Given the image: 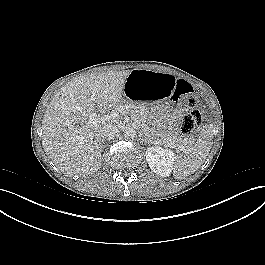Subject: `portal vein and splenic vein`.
<instances>
[{"instance_id": "portal-vein-and-splenic-vein-1", "label": "portal vein and splenic vein", "mask_w": 265, "mask_h": 265, "mask_svg": "<svg viewBox=\"0 0 265 265\" xmlns=\"http://www.w3.org/2000/svg\"><path fill=\"white\" fill-rule=\"evenodd\" d=\"M119 115H120V111H113L111 114H107L104 116H100L97 113H92L89 116L88 124L90 126H98L99 124L104 123L105 121L118 118ZM170 147L173 148V146L171 145Z\"/></svg>"}]
</instances>
